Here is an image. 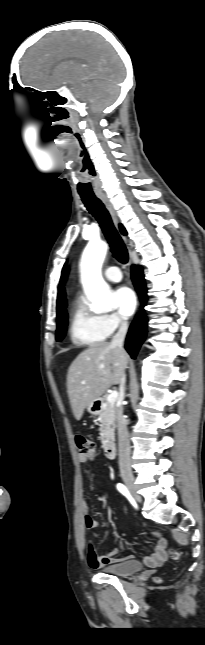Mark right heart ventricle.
Wrapping results in <instances>:
<instances>
[{"mask_svg": "<svg viewBox=\"0 0 205 645\" xmlns=\"http://www.w3.org/2000/svg\"><path fill=\"white\" fill-rule=\"evenodd\" d=\"M107 336L102 316L90 310L87 304L78 298L71 314V340L75 344L92 346L105 341Z\"/></svg>", "mask_w": 205, "mask_h": 645, "instance_id": "obj_1", "label": "right heart ventricle"}]
</instances>
